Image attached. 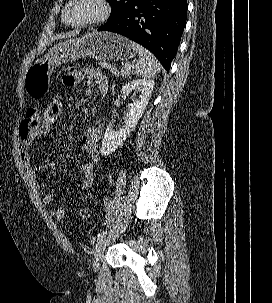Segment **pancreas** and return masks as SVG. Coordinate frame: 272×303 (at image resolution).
<instances>
[{
	"instance_id": "1",
	"label": "pancreas",
	"mask_w": 272,
	"mask_h": 303,
	"mask_svg": "<svg viewBox=\"0 0 272 303\" xmlns=\"http://www.w3.org/2000/svg\"><path fill=\"white\" fill-rule=\"evenodd\" d=\"M113 74H115L116 76L122 75V77H128L131 75V69H125L124 67L122 68L121 71L113 68L112 69Z\"/></svg>"
}]
</instances>
